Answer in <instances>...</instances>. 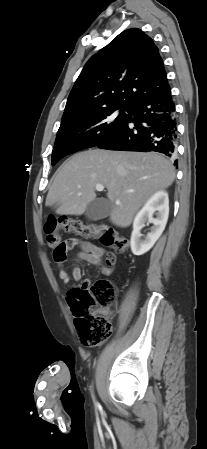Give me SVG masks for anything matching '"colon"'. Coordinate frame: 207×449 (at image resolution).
<instances>
[{
    "mask_svg": "<svg viewBox=\"0 0 207 449\" xmlns=\"http://www.w3.org/2000/svg\"><path fill=\"white\" fill-rule=\"evenodd\" d=\"M59 231L74 233L82 238H95L105 245L113 247L118 252H126L129 241L117 235L109 227L98 226L71 219L49 220L44 225V233L49 246L53 249L54 261L58 264L67 259V252L72 242H62ZM111 263L112 261L109 260ZM114 289L107 280L95 283L83 282L80 286L71 289L67 301L74 316L75 326L81 342L86 346H95L109 338L111 323L105 316L106 310L114 300Z\"/></svg>",
    "mask_w": 207,
    "mask_h": 449,
    "instance_id": "1",
    "label": "colon"
}]
</instances>
